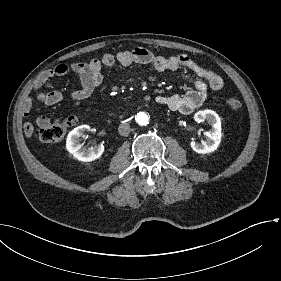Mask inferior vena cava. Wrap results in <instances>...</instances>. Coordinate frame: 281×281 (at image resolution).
Returning a JSON list of instances; mask_svg holds the SVG:
<instances>
[{
	"mask_svg": "<svg viewBox=\"0 0 281 281\" xmlns=\"http://www.w3.org/2000/svg\"><path fill=\"white\" fill-rule=\"evenodd\" d=\"M118 132L122 136H128L130 132V126L128 123H121L118 127Z\"/></svg>",
	"mask_w": 281,
	"mask_h": 281,
	"instance_id": "obj_1",
	"label": "inferior vena cava"
}]
</instances>
